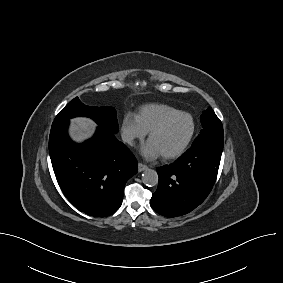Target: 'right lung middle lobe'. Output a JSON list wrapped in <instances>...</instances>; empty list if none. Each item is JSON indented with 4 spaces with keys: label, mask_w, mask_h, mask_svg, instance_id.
Here are the masks:
<instances>
[{
    "label": "right lung middle lobe",
    "mask_w": 283,
    "mask_h": 283,
    "mask_svg": "<svg viewBox=\"0 0 283 283\" xmlns=\"http://www.w3.org/2000/svg\"><path fill=\"white\" fill-rule=\"evenodd\" d=\"M76 116L92 118L99 127L116 134L118 121L116 110L112 107H90L84 105L78 97L69 102L56 116L54 120H69Z\"/></svg>",
    "instance_id": "obj_1"
}]
</instances>
